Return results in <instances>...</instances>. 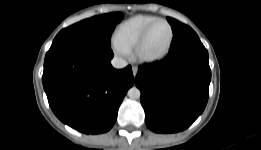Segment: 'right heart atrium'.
<instances>
[{
  "instance_id": "right-heart-atrium-1",
  "label": "right heart atrium",
  "mask_w": 261,
  "mask_h": 150,
  "mask_svg": "<svg viewBox=\"0 0 261 150\" xmlns=\"http://www.w3.org/2000/svg\"><path fill=\"white\" fill-rule=\"evenodd\" d=\"M113 50L119 56H126L129 53L128 50L115 41L113 42Z\"/></svg>"
}]
</instances>
